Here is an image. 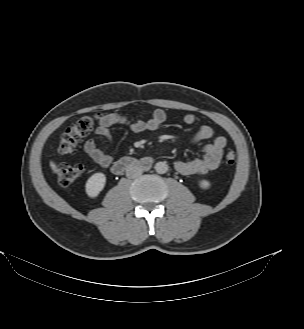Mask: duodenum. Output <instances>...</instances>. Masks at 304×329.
Returning <instances> with one entry per match:
<instances>
[{"label":"duodenum","instance_id":"1","mask_svg":"<svg viewBox=\"0 0 304 329\" xmlns=\"http://www.w3.org/2000/svg\"><path fill=\"white\" fill-rule=\"evenodd\" d=\"M147 163V161H138L132 157H124L112 166V172L116 175H120L129 169L145 166Z\"/></svg>","mask_w":304,"mask_h":329}]
</instances>
